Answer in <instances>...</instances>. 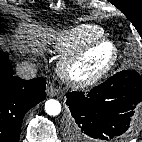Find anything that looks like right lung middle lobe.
Segmentation results:
<instances>
[{
	"mask_svg": "<svg viewBox=\"0 0 142 142\" xmlns=\"http://www.w3.org/2000/svg\"><path fill=\"white\" fill-rule=\"evenodd\" d=\"M0 22H1V20H0ZM0 30H1V24H0Z\"/></svg>",
	"mask_w": 142,
	"mask_h": 142,
	"instance_id": "dd1d6c3e",
	"label": "right lung middle lobe"
}]
</instances>
